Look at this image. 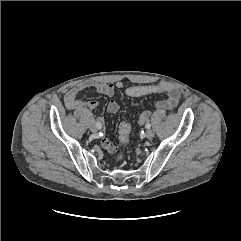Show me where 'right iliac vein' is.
Masks as SVG:
<instances>
[{"mask_svg":"<svg viewBox=\"0 0 241 241\" xmlns=\"http://www.w3.org/2000/svg\"><path fill=\"white\" fill-rule=\"evenodd\" d=\"M90 130H91L92 132H97V131H98V127L96 126L95 123H91V125H90Z\"/></svg>","mask_w":241,"mask_h":241,"instance_id":"1","label":"right iliac vein"}]
</instances>
